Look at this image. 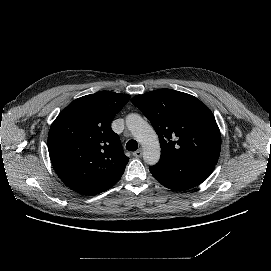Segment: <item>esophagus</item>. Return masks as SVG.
Here are the masks:
<instances>
[{"mask_svg": "<svg viewBox=\"0 0 271 271\" xmlns=\"http://www.w3.org/2000/svg\"><path fill=\"white\" fill-rule=\"evenodd\" d=\"M142 154H143V150L141 148H139L137 151H135L133 153V156L136 157V158H141Z\"/></svg>", "mask_w": 271, "mask_h": 271, "instance_id": "obj_1", "label": "esophagus"}]
</instances>
